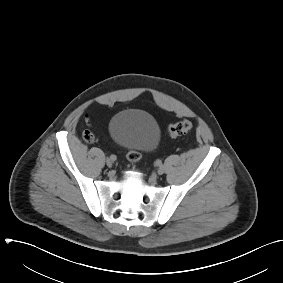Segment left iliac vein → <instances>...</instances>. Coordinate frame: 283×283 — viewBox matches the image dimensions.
Masks as SVG:
<instances>
[{
    "instance_id": "left-iliac-vein-1",
    "label": "left iliac vein",
    "mask_w": 283,
    "mask_h": 283,
    "mask_svg": "<svg viewBox=\"0 0 283 283\" xmlns=\"http://www.w3.org/2000/svg\"><path fill=\"white\" fill-rule=\"evenodd\" d=\"M165 172V168H164V166H159V168L157 169V173L159 174V175H162L163 173Z\"/></svg>"
}]
</instances>
